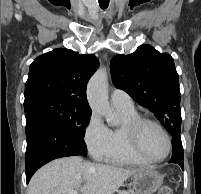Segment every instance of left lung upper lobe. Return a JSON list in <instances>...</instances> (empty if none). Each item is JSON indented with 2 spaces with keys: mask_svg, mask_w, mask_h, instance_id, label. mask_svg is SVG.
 Segmentation results:
<instances>
[{
  "mask_svg": "<svg viewBox=\"0 0 201 194\" xmlns=\"http://www.w3.org/2000/svg\"><path fill=\"white\" fill-rule=\"evenodd\" d=\"M110 68L117 88L152 112L171 135L180 133L178 74L169 54L141 45L132 54L114 56Z\"/></svg>",
  "mask_w": 201,
  "mask_h": 194,
  "instance_id": "1",
  "label": "left lung upper lobe"
}]
</instances>
